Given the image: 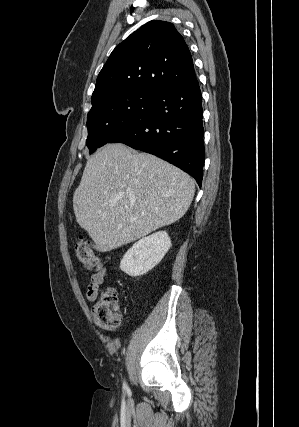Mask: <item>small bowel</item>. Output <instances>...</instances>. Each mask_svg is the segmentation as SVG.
I'll return each instance as SVG.
<instances>
[{"mask_svg": "<svg viewBox=\"0 0 299 427\" xmlns=\"http://www.w3.org/2000/svg\"><path fill=\"white\" fill-rule=\"evenodd\" d=\"M107 276L106 271H99L90 277L89 284L86 289V297L89 301H95L99 294V288Z\"/></svg>", "mask_w": 299, "mask_h": 427, "instance_id": "small-bowel-1", "label": "small bowel"}]
</instances>
